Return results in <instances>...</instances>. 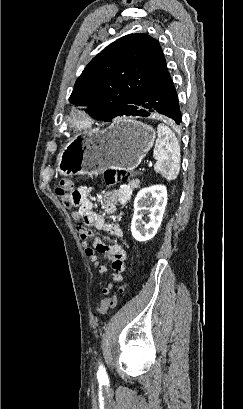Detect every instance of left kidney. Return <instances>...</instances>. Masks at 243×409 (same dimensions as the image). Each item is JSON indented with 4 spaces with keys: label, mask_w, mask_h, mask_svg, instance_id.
<instances>
[{
    "label": "left kidney",
    "mask_w": 243,
    "mask_h": 409,
    "mask_svg": "<svg viewBox=\"0 0 243 409\" xmlns=\"http://www.w3.org/2000/svg\"><path fill=\"white\" fill-rule=\"evenodd\" d=\"M167 204V190L155 185L140 190L134 200V215L131 222L132 236L139 242L152 239L161 225ZM144 212L148 219L143 220Z\"/></svg>",
    "instance_id": "1"
}]
</instances>
